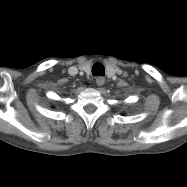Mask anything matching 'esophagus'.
I'll use <instances>...</instances> for the list:
<instances>
[{
  "label": "esophagus",
  "instance_id": "obj_1",
  "mask_svg": "<svg viewBox=\"0 0 187 187\" xmlns=\"http://www.w3.org/2000/svg\"><path fill=\"white\" fill-rule=\"evenodd\" d=\"M104 83H105V78L104 77H102V76L96 77V84L98 86H102Z\"/></svg>",
  "mask_w": 187,
  "mask_h": 187
}]
</instances>
